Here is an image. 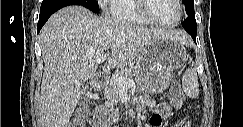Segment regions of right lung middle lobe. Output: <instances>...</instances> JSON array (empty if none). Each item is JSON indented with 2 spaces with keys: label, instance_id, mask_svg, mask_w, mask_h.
<instances>
[{
  "label": "right lung middle lobe",
  "instance_id": "1",
  "mask_svg": "<svg viewBox=\"0 0 243 127\" xmlns=\"http://www.w3.org/2000/svg\"><path fill=\"white\" fill-rule=\"evenodd\" d=\"M63 1H70L75 2L81 6L88 8L89 10L98 13L99 7L96 0H43L41 7H45L54 3L63 2Z\"/></svg>",
  "mask_w": 243,
  "mask_h": 127
}]
</instances>
